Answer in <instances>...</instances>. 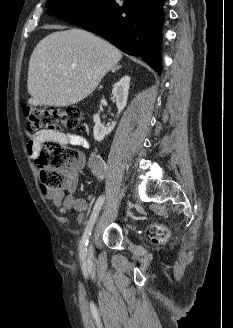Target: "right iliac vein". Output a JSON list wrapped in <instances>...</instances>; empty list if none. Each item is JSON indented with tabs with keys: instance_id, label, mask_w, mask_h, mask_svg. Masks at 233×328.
<instances>
[{
	"instance_id": "right-iliac-vein-1",
	"label": "right iliac vein",
	"mask_w": 233,
	"mask_h": 328,
	"mask_svg": "<svg viewBox=\"0 0 233 328\" xmlns=\"http://www.w3.org/2000/svg\"><path fill=\"white\" fill-rule=\"evenodd\" d=\"M94 259V249L92 244L88 247V252L86 253V263L91 265Z\"/></svg>"
}]
</instances>
